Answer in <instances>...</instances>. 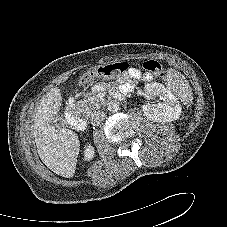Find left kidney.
<instances>
[{"label": "left kidney", "instance_id": "obj_1", "mask_svg": "<svg viewBox=\"0 0 227 227\" xmlns=\"http://www.w3.org/2000/svg\"><path fill=\"white\" fill-rule=\"evenodd\" d=\"M145 90L151 97L159 96L162 102L142 106L145 116L154 122H171L177 120L182 108L178 98L163 84L152 82L145 85Z\"/></svg>", "mask_w": 227, "mask_h": 227}]
</instances>
